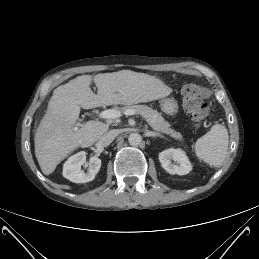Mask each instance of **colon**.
<instances>
[{"instance_id": "1", "label": "colon", "mask_w": 259, "mask_h": 259, "mask_svg": "<svg viewBox=\"0 0 259 259\" xmlns=\"http://www.w3.org/2000/svg\"><path fill=\"white\" fill-rule=\"evenodd\" d=\"M208 92L205 88L188 84L182 89V102L185 111L197 123H203L209 115V106L205 102Z\"/></svg>"}]
</instances>
